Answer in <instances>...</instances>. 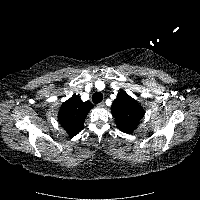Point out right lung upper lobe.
Returning a JSON list of instances; mask_svg holds the SVG:
<instances>
[{
  "label": "right lung upper lobe",
  "mask_w": 200,
  "mask_h": 200,
  "mask_svg": "<svg viewBox=\"0 0 200 200\" xmlns=\"http://www.w3.org/2000/svg\"><path fill=\"white\" fill-rule=\"evenodd\" d=\"M92 107L89 101L83 102L78 95H73L62 104L58 120L69 135L75 136L83 128L85 118Z\"/></svg>",
  "instance_id": "cb5924a9"
}]
</instances>
